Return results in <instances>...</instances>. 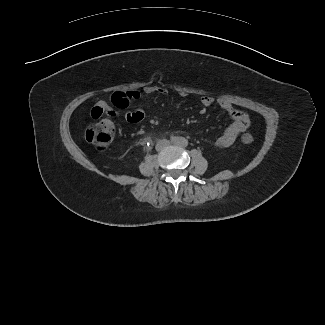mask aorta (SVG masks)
<instances>
[{
	"label": "aorta",
	"mask_w": 325,
	"mask_h": 325,
	"mask_svg": "<svg viewBox=\"0 0 325 325\" xmlns=\"http://www.w3.org/2000/svg\"><path fill=\"white\" fill-rule=\"evenodd\" d=\"M177 143H178V145H180V146H187L188 141H187L185 138L180 137V138L178 139Z\"/></svg>",
	"instance_id": "obj_1"
}]
</instances>
